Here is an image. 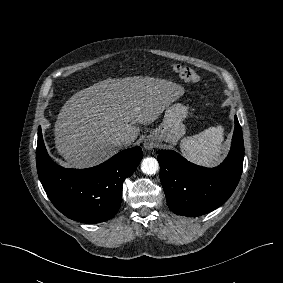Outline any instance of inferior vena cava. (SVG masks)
<instances>
[{"mask_svg": "<svg viewBox=\"0 0 283 283\" xmlns=\"http://www.w3.org/2000/svg\"><path fill=\"white\" fill-rule=\"evenodd\" d=\"M115 142L118 144V145H123V144H126L129 142L127 136L125 135H120L118 136L116 139H115Z\"/></svg>", "mask_w": 283, "mask_h": 283, "instance_id": "602c4592", "label": "inferior vena cava"}]
</instances>
